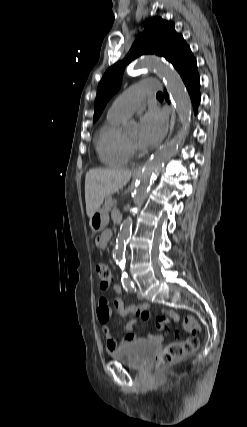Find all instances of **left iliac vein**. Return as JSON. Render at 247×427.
<instances>
[{
    "mask_svg": "<svg viewBox=\"0 0 247 427\" xmlns=\"http://www.w3.org/2000/svg\"><path fill=\"white\" fill-rule=\"evenodd\" d=\"M137 297H138L139 299H143V298H144V296H143V294L141 293V291H140V290H137Z\"/></svg>",
    "mask_w": 247,
    "mask_h": 427,
    "instance_id": "left-iliac-vein-1",
    "label": "left iliac vein"
}]
</instances>
